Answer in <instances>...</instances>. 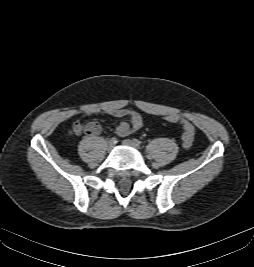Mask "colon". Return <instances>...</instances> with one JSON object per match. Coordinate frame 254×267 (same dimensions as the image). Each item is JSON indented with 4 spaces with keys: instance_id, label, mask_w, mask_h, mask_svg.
Listing matches in <instances>:
<instances>
[{
    "instance_id": "5ec220e1",
    "label": "colon",
    "mask_w": 254,
    "mask_h": 267,
    "mask_svg": "<svg viewBox=\"0 0 254 267\" xmlns=\"http://www.w3.org/2000/svg\"><path fill=\"white\" fill-rule=\"evenodd\" d=\"M165 119L170 123H179L183 128L182 134V143L185 148H190L194 141L195 136V128L192 123L188 120L182 118L178 114H169L165 117ZM74 133L77 134V131L73 129Z\"/></svg>"
}]
</instances>
